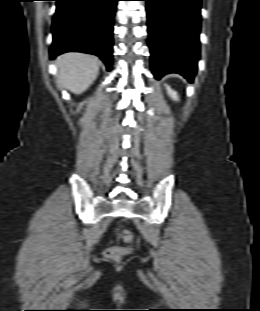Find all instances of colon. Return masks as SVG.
<instances>
[{
	"label": "colon",
	"instance_id": "5ec220e1",
	"mask_svg": "<svg viewBox=\"0 0 260 311\" xmlns=\"http://www.w3.org/2000/svg\"><path fill=\"white\" fill-rule=\"evenodd\" d=\"M120 237L125 242H132L133 235L129 230H122L120 233ZM131 252V248H125V247H110L106 249L105 255L113 260H119L123 255L128 254Z\"/></svg>",
	"mask_w": 260,
	"mask_h": 311
}]
</instances>
